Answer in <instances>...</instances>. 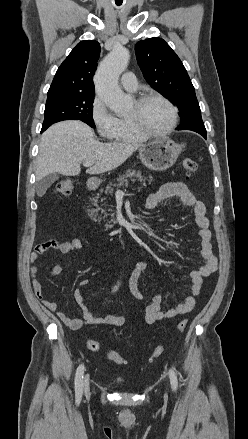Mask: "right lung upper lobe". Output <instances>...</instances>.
Masks as SVG:
<instances>
[{"instance_id":"1","label":"right lung upper lobe","mask_w":248,"mask_h":439,"mask_svg":"<svg viewBox=\"0 0 248 439\" xmlns=\"http://www.w3.org/2000/svg\"><path fill=\"white\" fill-rule=\"evenodd\" d=\"M100 55L97 41L84 40L76 45L58 68L48 96L63 93H94L92 83Z\"/></svg>"}]
</instances>
